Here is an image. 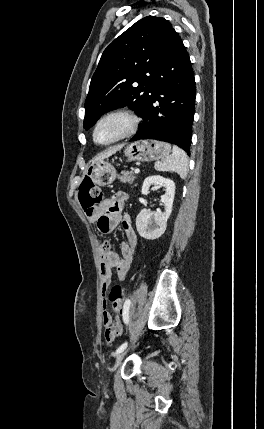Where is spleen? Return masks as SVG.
<instances>
[{
    "label": "spleen",
    "mask_w": 264,
    "mask_h": 429,
    "mask_svg": "<svg viewBox=\"0 0 264 429\" xmlns=\"http://www.w3.org/2000/svg\"><path fill=\"white\" fill-rule=\"evenodd\" d=\"M155 169L162 172H175L180 178L185 179L188 171L187 154L178 146H173L172 154L162 162L155 163Z\"/></svg>",
    "instance_id": "3e777b00"
}]
</instances>
